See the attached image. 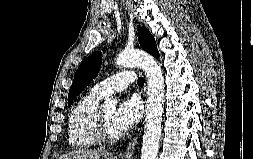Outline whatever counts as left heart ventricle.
I'll list each match as a JSON object with an SVG mask.
<instances>
[{
    "label": "left heart ventricle",
    "instance_id": "obj_1",
    "mask_svg": "<svg viewBox=\"0 0 253 159\" xmlns=\"http://www.w3.org/2000/svg\"><path fill=\"white\" fill-rule=\"evenodd\" d=\"M101 112H102V116H103L105 126H106L108 132L111 135H118V133L114 127V124H113L115 109L114 108H105V109H102Z\"/></svg>",
    "mask_w": 253,
    "mask_h": 159
}]
</instances>
